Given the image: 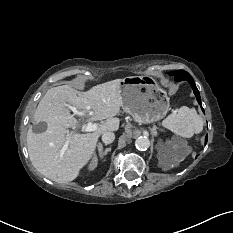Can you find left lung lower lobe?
<instances>
[{"instance_id": "1", "label": "left lung lower lobe", "mask_w": 233, "mask_h": 233, "mask_svg": "<svg viewBox=\"0 0 233 233\" xmlns=\"http://www.w3.org/2000/svg\"><path fill=\"white\" fill-rule=\"evenodd\" d=\"M175 80L176 81L187 80L191 84V87L194 90V94L196 96V99H197L198 103L200 104V106L202 108L200 94H199V91H198V89H197V87L195 85V82H194L193 78L191 77V75L188 74L186 76H183L182 78H180V80L175 78ZM202 111L204 112L203 108H202ZM207 138H208V136H206V138H205V143H207Z\"/></svg>"}]
</instances>
